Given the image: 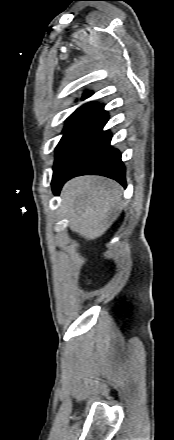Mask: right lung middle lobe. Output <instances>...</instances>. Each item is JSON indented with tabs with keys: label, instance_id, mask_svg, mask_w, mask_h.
I'll return each mask as SVG.
<instances>
[{
	"label": "right lung middle lobe",
	"instance_id": "1",
	"mask_svg": "<svg viewBox=\"0 0 174 440\" xmlns=\"http://www.w3.org/2000/svg\"><path fill=\"white\" fill-rule=\"evenodd\" d=\"M100 107L97 103H88L67 119L64 135L56 147L52 184L69 174L78 163L94 132Z\"/></svg>",
	"mask_w": 174,
	"mask_h": 440
}]
</instances>
